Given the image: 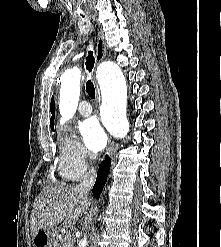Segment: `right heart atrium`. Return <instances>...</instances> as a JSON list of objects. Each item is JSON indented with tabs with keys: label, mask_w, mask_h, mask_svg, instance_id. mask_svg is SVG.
Returning a JSON list of instances; mask_svg holds the SVG:
<instances>
[{
	"label": "right heart atrium",
	"mask_w": 221,
	"mask_h": 247,
	"mask_svg": "<svg viewBox=\"0 0 221 247\" xmlns=\"http://www.w3.org/2000/svg\"><path fill=\"white\" fill-rule=\"evenodd\" d=\"M92 156L74 137L63 136L59 147V174L68 181H76L89 172Z\"/></svg>",
	"instance_id": "right-heart-atrium-1"
}]
</instances>
